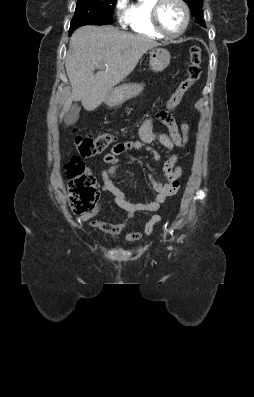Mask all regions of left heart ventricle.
Wrapping results in <instances>:
<instances>
[{
    "label": "left heart ventricle",
    "mask_w": 254,
    "mask_h": 397,
    "mask_svg": "<svg viewBox=\"0 0 254 397\" xmlns=\"http://www.w3.org/2000/svg\"><path fill=\"white\" fill-rule=\"evenodd\" d=\"M183 19L184 13L180 4L174 0H167L160 12V20L163 28L168 33H176L182 27Z\"/></svg>",
    "instance_id": "b2bd125f"
}]
</instances>
